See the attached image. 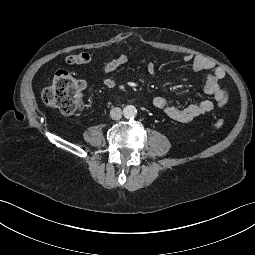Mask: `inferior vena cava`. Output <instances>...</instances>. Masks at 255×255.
<instances>
[{
    "label": "inferior vena cava",
    "mask_w": 255,
    "mask_h": 255,
    "mask_svg": "<svg viewBox=\"0 0 255 255\" xmlns=\"http://www.w3.org/2000/svg\"><path fill=\"white\" fill-rule=\"evenodd\" d=\"M110 117L113 120H119L122 117V110L119 107H114L110 111Z\"/></svg>",
    "instance_id": "obj_1"
}]
</instances>
